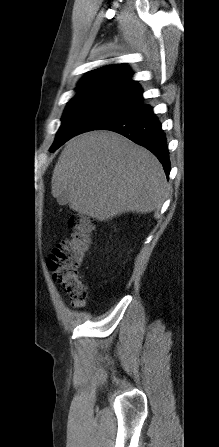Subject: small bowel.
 Here are the masks:
<instances>
[{"label": "small bowel", "instance_id": "1", "mask_svg": "<svg viewBox=\"0 0 219 447\" xmlns=\"http://www.w3.org/2000/svg\"><path fill=\"white\" fill-rule=\"evenodd\" d=\"M85 306V301L84 302H73L72 301V307L76 308V309H81Z\"/></svg>", "mask_w": 219, "mask_h": 447}]
</instances>
